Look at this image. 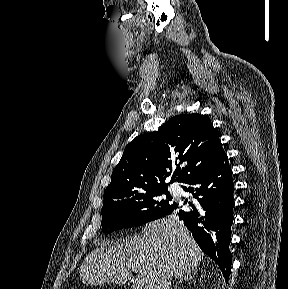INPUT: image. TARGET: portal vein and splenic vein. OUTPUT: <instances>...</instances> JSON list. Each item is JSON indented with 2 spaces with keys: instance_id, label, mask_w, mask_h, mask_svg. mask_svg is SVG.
Wrapping results in <instances>:
<instances>
[{
  "instance_id": "obj_1",
  "label": "portal vein and splenic vein",
  "mask_w": 288,
  "mask_h": 289,
  "mask_svg": "<svg viewBox=\"0 0 288 289\" xmlns=\"http://www.w3.org/2000/svg\"><path fill=\"white\" fill-rule=\"evenodd\" d=\"M133 288H134V289H141V280H140V279H136V280L133 282Z\"/></svg>"
}]
</instances>
